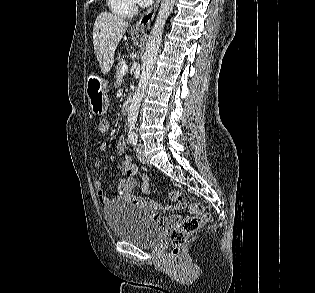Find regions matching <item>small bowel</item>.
I'll return each mask as SVG.
<instances>
[{"instance_id": "small-bowel-1", "label": "small bowel", "mask_w": 315, "mask_h": 293, "mask_svg": "<svg viewBox=\"0 0 315 293\" xmlns=\"http://www.w3.org/2000/svg\"><path fill=\"white\" fill-rule=\"evenodd\" d=\"M100 151L104 152L107 150V143L101 142L99 145ZM127 149L126 142L123 138H120L117 143V151L120 154H125ZM95 168H99L101 166V161L98 159L95 161L94 164ZM137 172L138 167L135 162L129 157L125 156L122 163H121V178L117 185L116 195L114 198H109L103 188L102 182L99 178L95 177L93 179V186L95 188L98 200L103 207H108L112 203H119V202H128L132 203L138 207L146 208L151 212H156L158 210L164 209L171 211L173 216L163 219L164 222L167 223H175L181 220L180 215H176L178 213V209L180 206H173V205H161L158 202H148L142 198L136 197L133 194V189L137 185ZM148 177L143 178L142 184V191L146 194H150L151 191L148 187ZM153 218H156V215H153Z\"/></svg>"}]
</instances>
